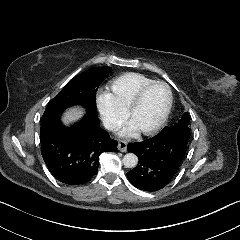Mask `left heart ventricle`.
Segmentation results:
<instances>
[{
  "label": "left heart ventricle",
  "mask_w": 240,
  "mask_h": 240,
  "mask_svg": "<svg viewBox=\"0 0 240 240\" xmlns=\"http://www.w3.org/2000/svg\"><path fill=\"white\" fill-rule=\"evenodd\" d=\"M167 92L163 86H152L145 94L140 107L131 117L137 128L144 130L153 126L160 118L166 102Z\"/></svg>",
  "instance_id": "left-heart-ventricle-1"
}]
</instances>
